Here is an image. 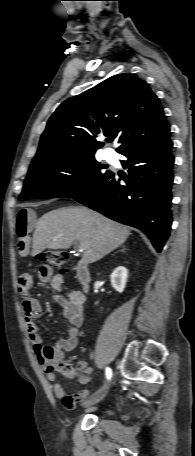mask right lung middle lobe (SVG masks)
<instances>
[{
    "instance_id": "right-lung-middle-lobe-1",
    "label": "right lung middle lobe",
    "mask_w": 195,
    "mask_h": 456,
    "mask_svg": "<svg viewBox=\"0 0 195 456\" xmlns=\"http://www.w3.org/2000/svg\"><path fill=\"white\" fill-rule=\"evenodd\" d=\"M94 155L74 156L40 163L29 168L20 200L37 197L75 198L86 194L105 179Z\"/></svg>"
}]
</instances>
